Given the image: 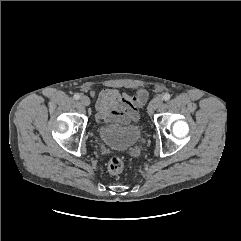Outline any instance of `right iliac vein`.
I'll list each match as a JSON object with an SVG mask.
<instances>
[{"label":"right iliac vein","mask_w":241,"mask_h":241,"mask_svg":"<svg viewBox=\"0 0 241 241\" xmlns=\"http://www.w3.org/2000/svg\"><path fill=\"white\" fill-rule=\"evenodd\" d=\"M80 102L84 105V106H89L90 105V99L88 96H82L80 98Z\"/></svg>","instance_id":"63e3f726"}]
</instances>
